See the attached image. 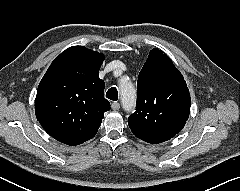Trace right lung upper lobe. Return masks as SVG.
I'll return each instance as SVG.
<instances>
[{"label": "right lung upper lobe", "mask_w": 240, "mask_h": 191, "mask_svg": "<svg viewBox=\"0 0 240 191\" xmlns=\"http://www.w3.org/2000/svg\"><path fill=\"white\" fill-rule=\"evenodd\" d=\"M104 55L84 46L66 49L51 63L35 99V113L54 139L79 145L95 136L110 103L98 76Z\"/></svg>", "instance_id": "obj_1"}]
</instances>
